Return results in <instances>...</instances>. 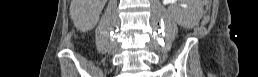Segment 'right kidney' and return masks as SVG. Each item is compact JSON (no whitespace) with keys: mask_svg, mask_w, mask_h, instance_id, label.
Listing matches in <instances>:
<instances>
[{"mask_svg":"<svg viewBox=\"0 0 258 77\" xmlns=\"http://www.w3.org/2000/svg\"><path fill=\"white\" fill-rule=\"evenodd\" d=\"M93 1H96V0H93ZM105 2H106V0H102L101 6L93 11V18H92V21L90 22V24H88L87 26H84V27L81 24H77L76 25L77 28L81 29L82 31H87V30L91 29L93 27V25L96 23V21L99 17V13Z\"/></svg>","mask_w":258,"mask_h":77,"instance_id":"obj_1","label":"right kidney"}]
</instances>
